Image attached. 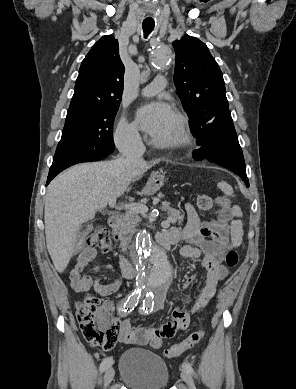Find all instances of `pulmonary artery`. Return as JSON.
<instances>
[{
	"mask_svg": "<svg viewBox=\"0 0 296 389\" xmlns=\"http://www.w3.org/2000/svg\"><path fill=\"white\" fill-rule=\"evenodd\" d=\"M166 86V79L163 76H157L150 84L141 90L143 96H153L162 91Z\"/></svg>",
	"mask_w": 296,
	"mask_h": 389,
	"instance_id": "pulmonary-artery-1",
	"label": "pulmonary artery"
}]
</instances>
